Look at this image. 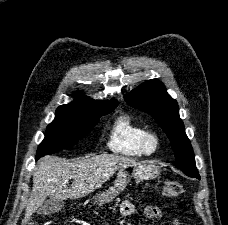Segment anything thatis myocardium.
I'll return each mask as SVG.
<instances>
[{
    "mask_svg": "<svg viewBox=\"0 0 228 225\" xmlns=\"http://www.w3.org/2000/svg\"><path fill=\"white\" fill-rule=\"evenodd\" d=\"M145 146L150 153H154L160 146V138L158 134L149 132L145 138Z\"/></svg>",
    "mask_w": 228,
    "mask_h": 225,
    "instance_id": "1",
    "label": "myocardium"
}]
</instances>
